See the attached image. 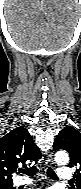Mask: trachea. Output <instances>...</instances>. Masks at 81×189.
Returning a JSON list of instances; mask_svg holds the SVG:
<instances>
[{"label":"trachea","instance_id":"1","mask_svg":"<svg viewBox=\"0 0 81 189\" xmlns=\"http://www.w3.org/2000/svg\"><path fill=\"white\" fill-rule=\"evenodd\" d=\"M20 172L25 173L27 176L31 177V176L36 175V173L38 172V168H37V166L34 165L30 168L23 169ZM47 174L50 178H52L54 180H58L56 173L53 171V169L51 167H48Z\"/></svg>","mask_w":81,"mask_h":189}]
</instances>
